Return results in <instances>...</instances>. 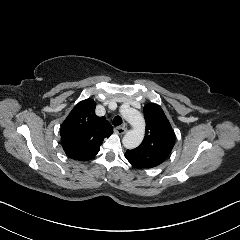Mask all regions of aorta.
Wrapping results in <instances>:
<instances>
[{"instance_id": "obj_1", "label": "aorta", "mask_w": 240, "mask_h": 240, "mask_svg": "<svg viewBox=\"0 0 240 240\" xmlns=\"http://www.w3.org/2000/svg\"><path fill=\"white\" fill-rule=\"evenodd\" d=\"M123 115L132 129L127 131L123 137L125 147L132 149L139 146L145 135V120L142 114L132 108L123 109Z\"/></svg>"}]
</instances>
